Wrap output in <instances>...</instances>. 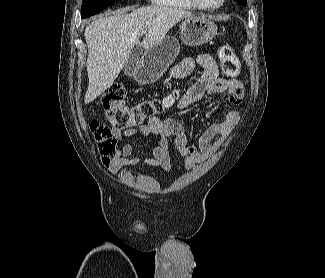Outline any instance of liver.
I'll use <instances>...</instances> for the list:
<instances>
[{"instance_id": "liver-1", "label": "liver", "mask_w": 325, "mask_h": 278, "mask_svg": "<svg viewBox=\"0 0 325 278\" xmlns=\"http://www.w3.org/2000/svg\"><path fill=\"white\" fill-rule=\"evenodd\" d=\"M128 10L132 12L127 14ZM192 16V13L174 7H128L91 22L84 32L88 46L86 68L89 80L85 104L112 86L135 45L145 50L154 47L176 23ZM144 29L147 33L140 43Z\"/></svg>"}]
</instances>
